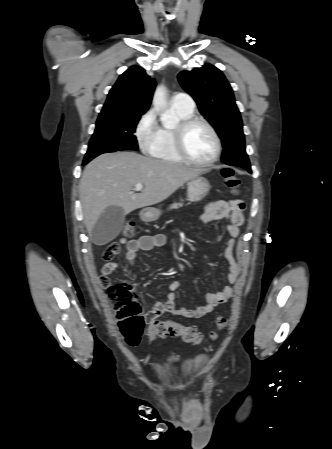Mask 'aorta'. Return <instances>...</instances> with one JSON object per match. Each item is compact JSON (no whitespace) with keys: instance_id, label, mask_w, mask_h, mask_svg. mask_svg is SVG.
Segmentation results:
<instances>
[{"instance_id":"1","label":"aorta","mask_w":332,"mask_h":449,"mask_svg":"<svg viewBox=\"0 0 332 449\" xmlns=\"http://www.w3.org/2000/svg\"><path fill=\"white\" fill-rule=\"evenodd\" d=\"M163 98H164V91L162 87L157 88L156 92H155V96H154V100L156 103H161L163 102ZM162 122L166 123L167 122V118L166 117H162Z\"/></svg>"}]
</instances>
